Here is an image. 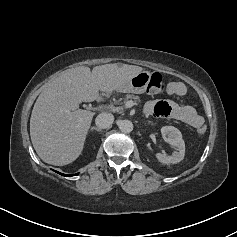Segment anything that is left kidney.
I'll return each mask as SVG.
<instances>
[{
    "mask_svg": "<svg viewBox=\"0 0 237 237\" xmlns=\"http://www.w3.org/2000/svg\"><path fill=\"white\" fill-rule=\"evenodd\" d=\"M161 134L164 140L171 146L175 147L177 151H174L172 155L157 153L156 158L158 161L164 164L178 163L182 161L185 156V143L181 132L173 126H164L161 128Z\"/></svg>",
    "mask_w": 237,
    "mask_h": 237,
    "instance_id": "5707ae66",
    "label": "left kidney"
}]
</instances>
